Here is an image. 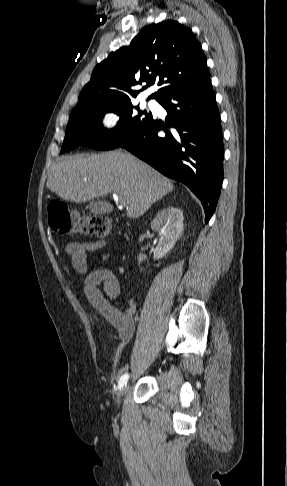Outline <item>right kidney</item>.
<instances>
[{"mask_svg": "<svg viewBox=\"0 0 287 486\" xmlns=\"http://www.w3.org/2000/svg\"><path fill=\"white\" fill-rule=\"evenodd\" d=\"M183 212L176 207H166L159 211L151 222V228L160 235L159 243L153 251L154 260L163 258L175 245L183 232ZM146 259L139 254L138 262Z\"/></svg>", "mask_w": 287, "mask_h": 486, "instance_id": "1", "label": "right kidney"}]
</instances>
